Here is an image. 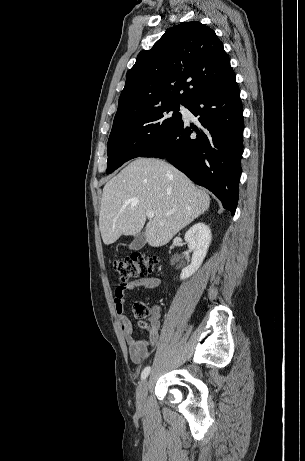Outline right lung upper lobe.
Listing matches in <instances>:
<instances>
[{
    "instance_id": "cb5924a9",
    "label": "right lung upper lobe",
    "mask_w": 305,
    "mask_h": 461,
    "mask_svg": "<svg viewBox=\"0 0 305 461\" xmlns=\"http://www.w3.org/2000/svg\"><path fill=\"white\" fill-rule=\"evenodd\" d=\"M233 73L212 29L196 21L179 24L137 56L126 74L114 123L165 104H188Z\"/></svg>"
}]
</instances>
